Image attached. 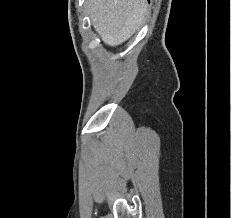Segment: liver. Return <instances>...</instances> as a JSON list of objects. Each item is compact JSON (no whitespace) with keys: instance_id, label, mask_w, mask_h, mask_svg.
Returning <instances> with one entry per match:
<instances>
[{"instance_id":"liver-1","label":"liver","mask_w":231,"mask_h":218,"mask_svg":"<svg viewBox=\"0 0 231 218\" xmlns=\"http://www.w3.org/2000/svg\"><path fill=\"white\" fill-rule=\"evenodd\" d=\"M86 5L94 29L112 47L135 33L147 10L146 0H87Z\"/></svg>"}]
</instances>
